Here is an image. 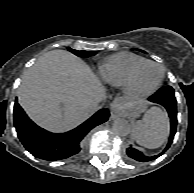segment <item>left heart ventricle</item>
<instances>
[{
    "label": "left heart ventricle",
    "mask_w": 194,
    "mask_h": 193,
    "mask_svg": "<svg viewBox=\"0 0 194 193\" xmlns=\"http://www.w3.org/2000/svg\"><path fill=\"white\" fill-rule=\"evenodd\" d=\"M160 78V69L153 65H145L141 68L137 77V85L140 89L147 90L156 85Z\"/></svg>",
    "instance_id": "1"
}]
</instances>
